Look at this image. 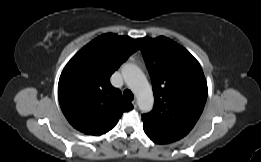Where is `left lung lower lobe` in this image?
I'll use <instances>...</instances> for the list:
<instances>
[{
    "instance_id": "1",
    "label": "left lung lower lobe",
    "mask_w": 261,
    "mask_h": 162,
    "mask_svg": "<svg viewBox=\"0 0 261 162\" xmlns=\"http://www.w3.org/2000/svg\"><path fill=\"white\" fill-rule=\"evenodd\" d=\"M143 129H144L145 133L147 134V136L156 144H168V143L174 142V140H170V139L157 135L150 128H148L144 125H143Z\"/></svg>"
}]
</instances>
